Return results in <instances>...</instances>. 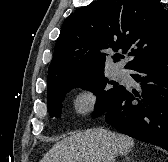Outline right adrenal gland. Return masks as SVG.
Returning a JSON list of instances; mask_svg holds the SVG:
<instances>
[{"label": "right adrenal gland", "instance_id": "obj_1", "mask_svg": "<svg viewBox=\"0 0 168 162\" xmlns=\"http://www.w3.org/2000/svg\"><path fill=\"white\" fill-rule=\"evenodd\" d=\"M126 162H131L130 158L128 156H125Z\"/></svg>", "mask_w": 168, "mask_h": 162}]
</instances>
